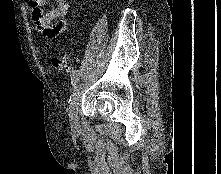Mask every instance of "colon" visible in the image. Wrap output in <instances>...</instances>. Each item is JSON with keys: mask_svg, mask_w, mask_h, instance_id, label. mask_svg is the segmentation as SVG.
<instances>
[{"mask_svg": "<svg viewBox=\"0 0 221 174\" xmlns=\"http://www.w3.org/2000/svg\"><path fill=\"white\" fill-rule=\"evenodd\" d=\"M49 62L52 67L62 72H70L72 70L71 62L66 56L57 54L51 55L49 57Z\"/></svg>", "mask_w": 221, "mask_h": 174, "instance_id": "obj_1", "label": "colon"}]
</instances>
